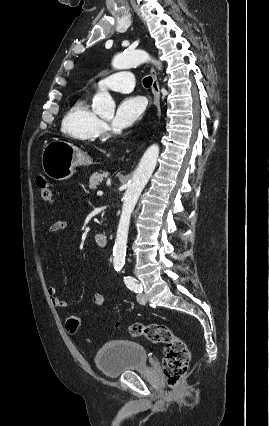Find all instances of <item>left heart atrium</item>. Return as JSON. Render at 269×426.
Returning <instances> with one entry per match:
<instances>
[{"instance_id":"left-heart-atrium-1","label":"left heart atrium","mask_w":269,"mask_h":426,"mask_svg":"<svg viewBox=\"0 0 269 426\" xmlns=\"http://www.w3.org/2000/svg\"><path fill=\"white\" fill-rule=\"evenodd\" d=\"M146 104L143 98L131 96L123 99L117 107L112 125L116 130H124L134 125L142 117Z\"/></svg>"}]
</instances>
